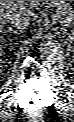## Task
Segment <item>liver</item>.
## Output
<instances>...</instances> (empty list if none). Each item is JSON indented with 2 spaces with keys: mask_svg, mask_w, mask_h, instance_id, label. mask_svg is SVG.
<instances>
[{
  "mask_svg": "<svg viewBox=\"0 0 74 122\" xmlns=\"http://www.w3.org/2000/svg\"><path fill=\"white\" fill-rule=\"evenodd\" d=\"M3 10H5V9L2 8L1 9V13H0V25H1V27H3V25L8 22V18L11 15H13L16 12H18L16 9L5 10V12Z\"/></svg>",
  "mask_w": 74,
  "mask_h": 122,
  "instance_id": "obj_1",
  "label": "liver"
}]
</instances>
